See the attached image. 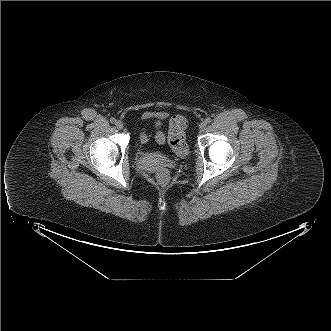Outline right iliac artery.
Returning a JSON list of instances; mask_svg holds the SVG:
<instances>
[{
	"instance_id": "right-iliac-artery-1",
	"label": "right iliac artery",
	"mask_w": 331,
	"mask_h": 331,
	"mask_svg": "<svg viewBox=\"0 0 331 331\" xmlns=\"http://www.w3.org/2000/svg\"><path fill=\"white\" fill-rule=\"evenodd\" d=\"M110 122H111V123H116V119H115V118H111V119H110Z\"/></svg>"
}]
</instances>
